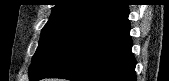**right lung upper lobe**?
<instances>
[{
  "label": "right lung upper lobe",
  "mask_w": 169,
  "mask_h": 81,
  "mask_svg": "<svg viewBox=\"0 0 169 81\" xmlns=\"http://www.w3.org/2000/svg\"><path fill=\"white\" fill-rule=\"evenodd\" d=\"M123 5L120 0H59L50 19L77 17L88 22Z\"/></svg>",
  "instance_id": "right-lung-upper-lobe-1"
}]
</instances>
